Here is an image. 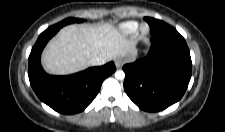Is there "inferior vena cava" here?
I'll return each instance as SVG.
<instances>
[{
	"mask_svg": "<svg viewBox=\"0 0 225 132\" xmlns=\"http://www.w3.org/2000/svg\"><path fill=\"white\" fill-rule=\"evenodd\" d=\"M107 59L105 57H96L90 61L92 66H100L106 63Z\"/></svg>",
	"mask_w": 225,
	"mask_h": 132,
	"instance_id": "602c4592",
	"label": "inferior vena cava"
}]
</instances>
